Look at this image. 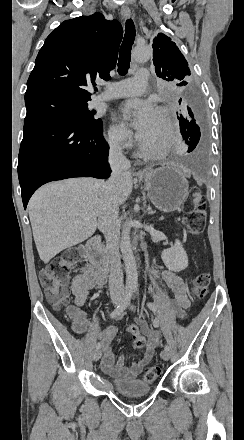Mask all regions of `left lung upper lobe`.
Wrapping results in <instances>:
<instances>
[{
  "instance_id": "1",
  "label": "left lung upper lobe",
  "mask_w": 244,
  "mask_h": 440,
  "mask_svg": "<svg viewBox=\"0 0 244 440\" xmlns=\"http://www.w3.org/2000/svg\"><path fill=\"white\" fill-rule=\"evenodd\" d=\"M153 62L157 76L166 81L182 80L187 85L191 75L188 63L171 38L159 33L153 40Z\"/></svg>"
}]
</instances>
